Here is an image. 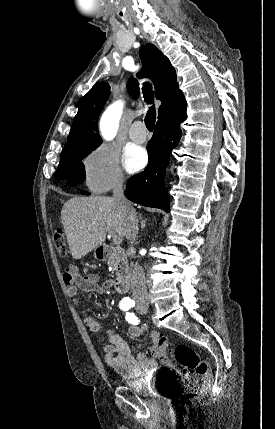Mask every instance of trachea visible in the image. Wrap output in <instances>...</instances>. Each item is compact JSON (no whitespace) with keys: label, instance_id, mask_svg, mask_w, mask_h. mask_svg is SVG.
Returning <instances> with one entry per match:
<instances>
[{"label":"trachea","instance_id":"3493384b","mask_svg":"<svg viewBox=\"0 0 275 429\" xmlns=\"http://www.w3.org/2000/svg\"><path fill=\"white\" fill-rule=\"evenodd\" d=\"M142 89H143L145 102H147L148 104L153 103L152 86L148 83H144V86ZM144 121H145V125H146L147 129L149 131H152L154 129V125H155V121H156V110H155L154 105L149 107V110L146 114Z\"/></svg>","mask_w":275,"mask_h":429}]
</instances>
